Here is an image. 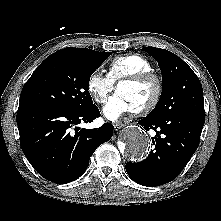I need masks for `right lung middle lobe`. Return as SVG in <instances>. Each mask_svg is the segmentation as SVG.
I'll use <instances>...</instances> for the list:
<instances>
[{
	"instance_id": "1",
	"label": "right lung middle lobe",
	"mask_w": 221,
	"mask_h": 221,
	"mask_svg": "<svg viewBox=\"0 0 221 221\" xmlns=\"http://www.w3.org/2000/svg\"><path fill=\"white\" fill-rule=\"evenodd\" d=\"M98 52L93 57H80L56 52L48 56L24 85L20 103H37L71 111L94 106L88 91L92 73L110 56Z\"/></svg>"
}]
</instances>
